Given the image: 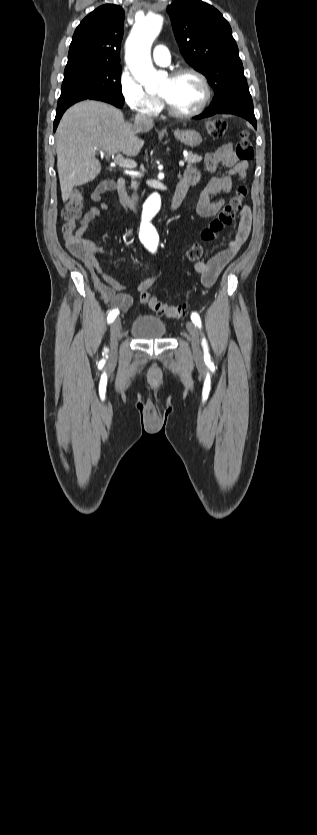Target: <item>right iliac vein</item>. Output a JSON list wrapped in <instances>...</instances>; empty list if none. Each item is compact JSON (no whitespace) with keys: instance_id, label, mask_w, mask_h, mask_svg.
<instances>
[{"instance_id":"obj_1","label":"right iliac vein","mask_w":317,"mask_h":835,"mask_svg":"<svg viewBox=\"0 0 317 835\" xmlns=\"http://www.w3.org/2000/svg\"><path fill=\"white\" fill-rule=\"evenodd\" d=\"M120 331H121V320L119 318H117L116 320H114V322L111 325L110 344H111V350H112L113 353H116V351H117V344H118V338L120 336Z\"/></svg>"}]
</instances>
